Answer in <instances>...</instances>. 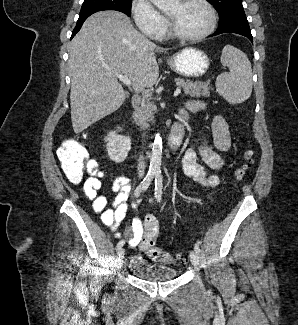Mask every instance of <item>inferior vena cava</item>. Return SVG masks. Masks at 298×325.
Masks as SVG:
<instances>
[{
	"label": "inferior vena cava",
	"mask_w": 298,
	"mask_h": 325,
	"mask_svg": "<svg viewBox=\"0 0 298 325\" xmlns=\"http://www.w3.org/2000/svg\"><path fill=\"white\" fill-rule=\"evenodd\" d=\"M145 167H146L145 160H144L142 154H139L138 165H137V171H138L137 175H138V177H144V175H145Z\"/></svg>",
	"instance_id": "obj_1"
}]
</instances>
